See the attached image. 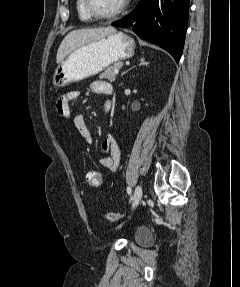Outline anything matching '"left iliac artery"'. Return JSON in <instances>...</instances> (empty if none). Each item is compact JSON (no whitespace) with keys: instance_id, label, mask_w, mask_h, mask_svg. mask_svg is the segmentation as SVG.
<instances>
[{"instance_id":"44dca946","label":"left iliac artery","mask_w":240,"mask_h":287,"mask_svg":"<svg viewBox=\"0 0 240 287\" xmlns=\"http://www.w3.org/2000/svg\"><path fill=\"white\" fill-rule=\"evenodd\" d=\"M127 192H128V194H131V187H127Z\"/></svg>"}]
</instances>
